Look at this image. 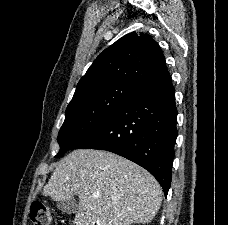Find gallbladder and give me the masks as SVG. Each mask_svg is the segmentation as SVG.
I'll list each match as a JSON object with an SVG mask.
<instances>
[{"label":"gallbladder","mask_w":228,"mask_h":225,"mask_svg":"<svg viewBox=\"0 0 228 225\" xmlns=\"http://www.w3.org/2000/svg\"><path fill=\"white\" fill-rule=\"evenodd\" d=\"M56 207L57 209H60V211H63V213L71 215V213H76L77 201L73 195V197H70V199H65V201H58Z\"/></svg>","instance_id":"gallbladder-1"}]
</instances>
